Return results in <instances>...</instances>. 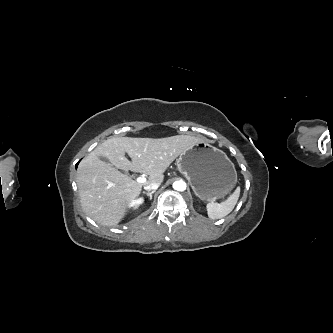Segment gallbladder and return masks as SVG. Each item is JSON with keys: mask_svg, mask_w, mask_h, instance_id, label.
I'll list each match as a JSON object with an SVG mask.
<instances>
[{"mask_svg": "<svg viewBox=\"0 0 333 333\" xmlns=\"http://www.w3.org/2000/svg\"><path fill=\"white\" fill-rule=\"evenodd\" d=\"M101 160L105 161V162H108V160L104 157H100Z\"/></svg>", "mask_w": 333, "mask_h": 333, "instance_id": "bac80fb5", "label": "gallbladder"}]
</instances>
